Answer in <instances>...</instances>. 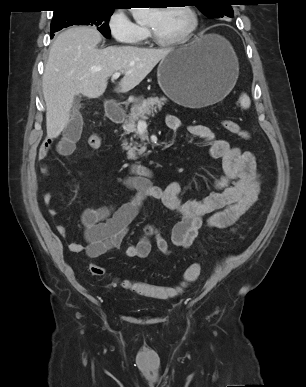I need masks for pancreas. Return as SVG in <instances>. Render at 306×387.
<instances>
[{"label":"pancreas","mask_w":306,"mask_h":387,"mask_svg":"<svg viewBox=\"0 0 306 387\" xmlns=\"http://www.w3.org/2000/svg\"><path fill=\"white\" fill-rule=\"evenodd\" d=\"M166 97H149L144 99V97L134 98L131 112L125 117L123 128L125 134L134 133V137L138 136L137 131V122L142 120L145 121L149 116L154 115L158 111H161L162 106L166 103ZM146 137V136H144ZM123 150L127 151V157L131 160H136L146 150V144H139L137 142L128 143L127 140L123 141L122 144Z\"/></svg>","instance_id":"1"}]
</instances>
